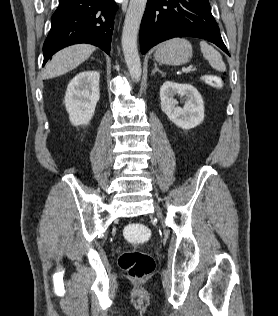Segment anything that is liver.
<instances>
[{"mask_svg":"<svg viewBox=\"0 0 278 316\" xmlns=\"http://www.w3.org/2000/svg\"><path fill=\"white\" fill-rule=\"evenodd\" d=\"M94 51L95 47L89 44L73 45L59 51L47 63L43 78L50 79L66 74L87 60Z\"/></svg>","mask_w":278,"mask_h":316,"instance_id":"1","label":"liver"}]
</instances>
